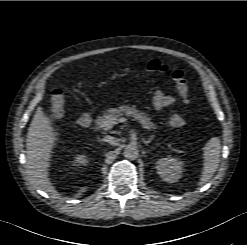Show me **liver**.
<instances>
[{
	"mask_svg": "<svg viewBox=\"0 0 247 245\" xmlns=\"http://www.w3.org/2000/svg\"><path fill=\"white\" fill-rule=\"evenodd\" d=\"M57 134L41 108H37L26 139L27 171L34 185L53 196L58 192L48 178V171Z\"/></svg>",
	"mask_w": 247,
	"mask_h": 245,
	"instance_id": "1",
	"label": "liver"
}]
</instances>
